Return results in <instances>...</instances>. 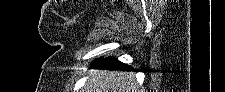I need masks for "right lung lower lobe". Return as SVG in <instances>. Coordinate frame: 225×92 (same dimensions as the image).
I'll list each match as a JSON object with an SVG mask.
<instances>
[{
  "mask_svg": "<svg viewBox=\"0 0 225 92\" xmlns=\"http://www.w3.org/2000/svg\"><path fill=\"white\" fill-rule=\"evenodd\" d=\"M91 68L102 69V70H124V71H134L135 69L128 66L116 58H102L92 63Z\"/></svg>",
  "mask_w": 225,
  "mask_h": 92,
  "instance_id": "right-lung-lower-lobe-1",
  "label": "right lung lower lobe"
}]
</instances>
